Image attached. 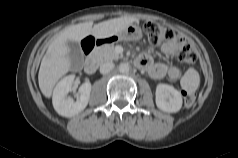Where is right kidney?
<instances>
[{"instance_id":"1","label":"right kidney","mask_w":238,"mask_h":158,"mask_svg":"<svg viewBox=\"0 0 238 158\" xmlns=\"http://www.w3.org/2000/svg\"><path fill=\"white\" fill-rule=\"evenodd\" d=\"M74 75L64 77L55 87L53 92V106L56 112L64 117L70 118L82 112L90 99L91 83L85 82L79 88V96L74 101L68 97L72 90Z\"/></svg>"}]
</instances>
